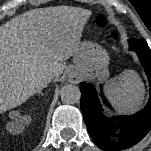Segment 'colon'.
<instances>
[{
  "mask_svg": "<svg viewBox=\"0 0 151 151\" xmlns=\"http://www.w3.org/2000/svg\"><path fill=\"white\" fill-rule=\"evenodd\" d=\"M98 28L108 32L113 40H119L123 37V31L119 26L111 24L110 19L105 14H99L95 19Z\"/></svg>",
  "mask_w": 151,
  "mask_h": 151,
  "instance_id": "5ec220e1",
  "label": "colon"
}]
</instances>
